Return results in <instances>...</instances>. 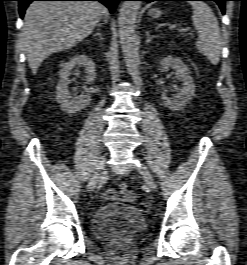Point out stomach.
Segmentation results:
<instances>
[{"mask_svg": "<svg viewBox=\"0 0 247 265\" xmlns=\"http://www.w3.org/2000/svg\"><path fill=\"white\" fill-rule=\"evenodd\" d=\"M149 15L153 18H158L161 15V11L157 8H153L149 11Z\"/></svg>", "mask_w": 247, "mask_h": 265, "instance_id": "stomach-1", "label": "stomach"}]
</instances>
